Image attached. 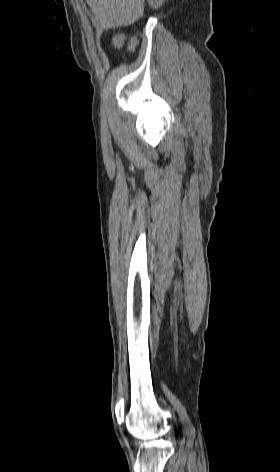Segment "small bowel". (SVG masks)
<instances>
[{
    "label": "small bowel",
    "mask_w": 280,
    "mask_h": 472,
    "mask_svg": "<svg viewBox=\"0 0 280 472\" xmlns=\"http://www.w3.org/2000/svg\"><path fill=\"white\" fill-rule=\"evenodd\" d=\"M122 42H123L122 37H118V38H116V40H115V43H116V44H121ZM134 44H135V40L132 41L131 47H133Z\"/></svg>",
    "instance_id": "obj_1"
}]
</instances>
